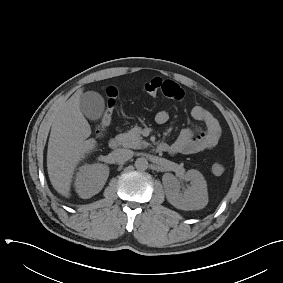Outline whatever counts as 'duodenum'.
Masks as SVG:
<instances>
[{
  "label": "duodenum",
  "mask_w": 283,
  "mask_h": 283,
  "mask_svg": "<svg viewBox=\"0 0 283 283\" xmlns=\"http://www.w3.org/2000/svg\"><path fill=\"white\" fill-rule=\"evenodd\" d=\"M121 145V140L119 138H112L110 141H109V147L111 149H117L119 148ZM157 149L158 151L160 152H164L166 151L167 149V145L165 143H160L158 146H157Z\"/></svg>",
  "instance_id": "410a0bca"
}]
</instances>
